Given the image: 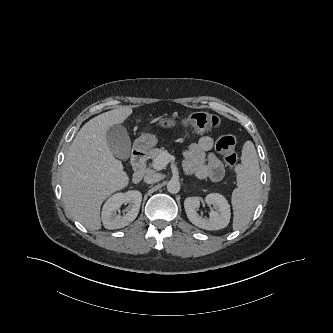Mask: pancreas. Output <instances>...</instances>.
Returning a JSON list of instances; mask_svg holds the SVG:
<instances>
[{
  "instance_id": "cf45deb5",
  "label": "pancreas",
  "mask_w": 333,
  "mask_h": 333,
  "mask_svg": "<svg viewBox=\"0 0 333 333\" xmlns=\"http://www.w3.org/2000/svg\"><path fill=\"white\" fill-rule=\"evenodd\" d=\"M167 152L166 150H164V148H155L150 150L149 152V157L153 160H155L158 156H160L161 154Z\"/></svg>"
}]
</instances>
